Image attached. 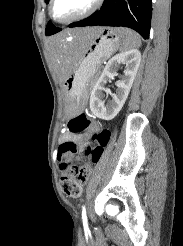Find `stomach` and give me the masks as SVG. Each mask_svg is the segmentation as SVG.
I'll use <instances>...</instances> for the list:
<instances>
[{"label": "stomach", "instance_id": "obj_1", "mask_svg": "<svg viewBox=\"0 0 183 246\" xmlns=\"http://www.w3.org/2000/svg\"><path fill=\"white\" fill-rule=\"evenodd\" d=\"M122 32L123 29L120 28H101L91 40L64 42L68 49L76 52L73 71L63 85L66 92L65 109L69 116H74L82 110L88 82L101 61L123 43Z\"/></svg>", "mask_w": 183, "mask_h": 246}]
</instances>
